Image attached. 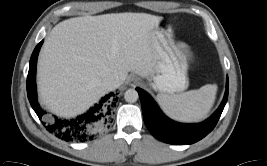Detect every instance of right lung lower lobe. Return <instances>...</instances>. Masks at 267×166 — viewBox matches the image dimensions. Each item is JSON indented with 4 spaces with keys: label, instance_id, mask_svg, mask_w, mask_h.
<instances>
[{
    "label": "right lung lower lobe",
    "instance_id": "obj_1",
    "mask_svg": "<svg viewBox=\"0 0 267 166\" xmlns=\"http://www.w3.org/2000/svg\"><path fill=\"white\" fill-rule=\"evenodd\" d=\"M42 43L43 41L36 46L32 53L27 77V95L32 108L39 119L43 120L46 129L59 139L67 142H85L92 140L113 120L111 117L118 98L115 97L114 93L105 95L87 112L72 119L47 115L37 102L35 82L37 56Z\"/></svg>",
    "mask_w": 267,
    "mask_h": 166
}]
</instances>
